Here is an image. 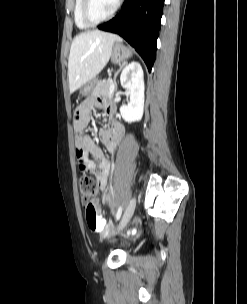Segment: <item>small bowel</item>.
I'll return each mask as SVG.
<instances>
[{"mask_svg":"<svg viewBox=\"0 0 247 304\" xmlns=\"http://www.w3.org/2000/svg\"><path fill=\"white\" fill-rule=\"evenodd\" d=\"M94 107L108 111L110 114H114V108L103 100H99L97 102L86 101L75 109V131L81 133L87 127L90 113ZM123 134V125L113 121V128L111 130L107 128L102 129L99 135L103 145L109 151H114L117 149ZM76 154L80 167L91 172L95 177L97 186L102 191L105 190L108 184L111 165L105 158L100 147L94 143L90 136L82 134L76 141Z\"/></svg>","mask_w":247,"mask_h":304,"instance_id":"1","label":"small bowel"}]
</instances>
